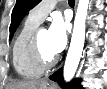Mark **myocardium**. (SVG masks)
I'll use <instances>...</instances> for the list:
<instances>
[{
    "instance_id": "obj_1",
    "label": "myocardium",
    "mask_w": 107,
    "mask_h": 89,
    "mask_svg": "<svg viewBox=\"0 0 107 89\" xmlns=\"http://www.w3.org/2000/svg\"><path fill=\"white\" fill-rule=\"evenodd\" d=\"M41 30L42 28H37L33 33L30 41L29 52L30 58L33 63L44 71L50 69L57 63L58 56L55 54L51 59H47L44 57L39 43V35Z\"/></svg>"
}]
</instances>
